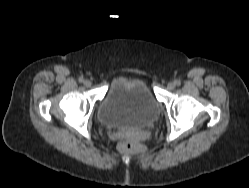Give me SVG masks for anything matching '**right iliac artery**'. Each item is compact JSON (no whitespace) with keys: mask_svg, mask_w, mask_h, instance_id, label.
<instances>
[{"mask_svg":"<svg viewBox=\"0 0 249 188\" xmlns=\"http://www.w3.org/2000/svg\"><path fill=\"white\" fill-rule=\"evenodd\" d=\"M79 82H80V83H83V82H84L83 77H80V78H79Z\"/></svg>","mask_w":249,"mask_h":188,"instance_id":"82829eb1","label":"right iliac artery"}]
</instances>
